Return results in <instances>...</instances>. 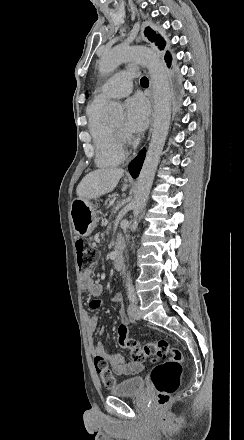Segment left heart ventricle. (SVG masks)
Instances as JSON below:
<instances>
[{
  "instance_id": "1",
  "label": "left heart ventricle",
  "mask_w": 244,
  "mask_h": 440,
  "mask_svg": "<svg viewBox=\"0 0 244 440\" xmlns=\"http://www.w3.org/2000/svg\"><path fill=\"white\" fill-rule=\"evenodd\" d=\"M107 123L109 125H111L114 129H119L123 125V119L116 118V119L109 120Z\"/></svg>"
}]
</instances>
